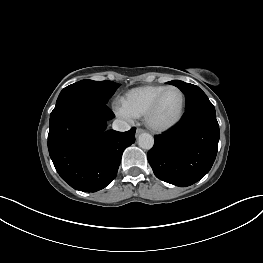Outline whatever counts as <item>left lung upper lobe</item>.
<instances>
[{"label":"left lung upper lobe","instance_id":"left-lung-upper-lobe-1","mask_svg":"<svg viewBox=\"0 0 263 263\" xmlns=\"http://www.w3.org/2000/svg\"><path fill=\"white\" fill-rule=\"evenodd\" d=\"M168 84L177 86L185 94V109H188L198 103L209 101L206 94L196 85L179 80L170 81Z\"/></svg>","mask_w":263,"mask_h":263}]
</instances>
